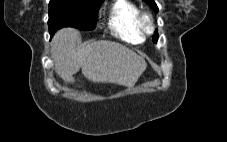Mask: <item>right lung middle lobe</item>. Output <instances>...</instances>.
<instances>
[{"label": "right lung middle lobe", "mask_w": 227, "mask_h": 142, "mask_svg": "<svg viewBox=\"0 0 227 142\" xmlns=\"http://www.w3.org/2000/svg\"><path fill=\"white\" fill-rule=\"evenodd\" d=\"M102 2L103 0H50L48 20L50 35L53 36L63 27H74L85 31L95 29Z\"/></svg>", "instance_id": "right-lung-middle-lobe-1"}]
</instances>
